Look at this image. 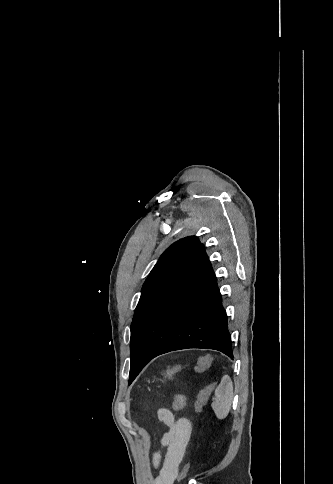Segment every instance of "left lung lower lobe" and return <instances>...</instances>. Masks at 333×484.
<instances>
[{"mask_svg": "<svg viewBox=\"0 0 333 484\" xmlns=\"http://www.w3.org/2000/svg\"><path fill=\"white\" fill-rule=\"evenodd\" d=\"M187 348L215 349L233 358L227 315L204 248L157 302L131 355V366L144 367L158 355Z\"/></svg>", "mask_w": 333, "mask_h": 484, "instance_id": "0a47b994", "label": "left lung lower lobe"}]
</instances>
